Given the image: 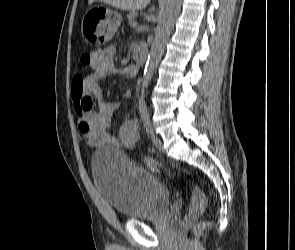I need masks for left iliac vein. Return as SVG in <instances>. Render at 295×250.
I'll return each mask as SVG.
<instances>
[{
    "mask_svg": "<svg viewBox=\"0 0 295 250\" xmlns=\"http://www.w3.org/2000/svg\"><path fill=\"white\" fill-rule=\"evenodd\" d=\"M151 137L155 148L159 151H163V144L160 138L155 134L153 129L151 128Z\"/></svg>",
    "mask_w": 295,
    "mask_h": 250,
    "instance_id": "obj_1",
    "label": "left iliac vein"
}]
</instances>
